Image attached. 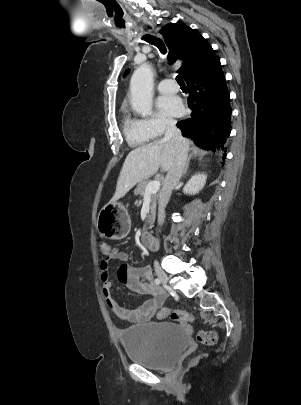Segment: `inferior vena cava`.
I'll return each instance as SVG.
<instances>
[{"label": "inferior vena cava", "instance_id": "obj_1", "mask_svg": "<svg viewBox=\"0 0 301 405\" xmlns=\"http://www.w3.org/2000/svg\"><path fill=\"white\" fill-rule=\"evenodd\" d=\"M164 140H172L176 144V156L165 177L162 189L159 193L158 224L161 225L165 218V208L169 202L174 186L181 178L188 157L189 144L183 138L181 131L176 127V121L166 120Z\"/></svg>", "mask_w": 301, "mask_h": 405}]
</instances>
